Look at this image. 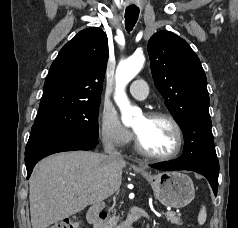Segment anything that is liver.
I'll list each match as a JSON object with an SVG mask.
<instances>
[{
    "instance_id": "obj_1",
    "label": "liver",
    "mask_w": 238,
    "mask_h": 228,
    "mask_svg": "<svg viewBox=\"0 0 238 228\" xmlns=\"http://www.w3.org/2000/svg\"><path fill=\"white\" fill-rule=\"evenodd\" d=\"M126 162L73 151L40 161L29 179L32 228H47L117 191Z\"/></svg>"
}]
</instances>
